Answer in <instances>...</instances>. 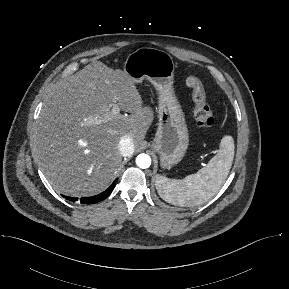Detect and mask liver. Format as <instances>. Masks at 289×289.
Returning a JSON list of instances; mask_svg holds the SVG:
<instances>
[{
    "instance_id": "liver-1",
    "label": "liver",
    "mask_w": 289,
    "mask_h": 289,
    "mask_svg": "<svg viewBox=\"0 0 289 289\" xmlns=\"http://www.w3.org/2000/svg\"><path fill=\"white\" fill-rule=\"evenodd\" d=\"M117 105L130 113L103 119ZM153 120L134 81L122 70L93 61L62 81L45 99L33 136L36 159L52 187L69 196H92L114 180L119 141L145 138Z\"/></svg>"
}]
</instances>
